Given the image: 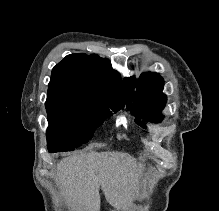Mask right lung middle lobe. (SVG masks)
Listing matches in <instances>:
<instances>
[{
	"instance_id": "right-lung-middle-lobe-1",
	"label": "right lung middle lobe",
	"mask_w": 219,
	"mask_h": 211,
	"mask_svg": "<svg viewBox=\"0 0 219 211\" xmlns=\"http://www.w3.org/2000/svg\"><path fill=\"white\" fill-rule=\"evenodd\" d=\"M46 110L48 150L50 152L72 151L88 142L105 119L122 106L91 104L61 98H47ZM112 110V111H111Z\"/></svg>"
}]
</instances>
